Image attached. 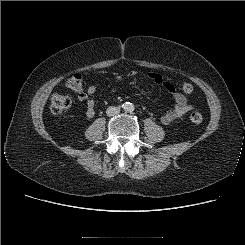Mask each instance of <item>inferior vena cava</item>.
I'll return each instance as SVG.
<instances>
[{"mask_svg":"<svg viewBox=\"0 0 245 245\" xmlns=\"http://www.w3.org/2000/svg\"><path fill=\"white\" fill-rule=\"evenodd\" d=\"M118 113H120V108H118V107L110 106V107H108L107 110H106V114H107V116H109V117L115 116V115H117Z\"/></svg>","mask_w":245,"mask_h":245,"instance_id":"obj_1","label":"inferior vena cava"}]
</instances>
